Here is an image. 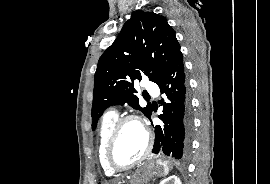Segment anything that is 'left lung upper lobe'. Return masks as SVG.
Wrapping results in <instances>:
<instances>
[{
	"label": "left lung upper lobe",
	"instance_id": "5c2ea615",
	"mask_svg": "<svg viewBox=\"0 0 270 184\" xmlns=\"http://www.w3.org/2000/svg\"><path fill=\"white\" fill-rule=\"evenodd\" d=\"M180 45L165 17L137 11L123 26L114 43L100 57L95 72L92 129L104 110L128 103L150 119L151 105L139 106L133 82L143 75L157 83L165 74Z\"/></svg>",
	"mask_w": 270,
	"mask_h": 184
}]
</instances>
